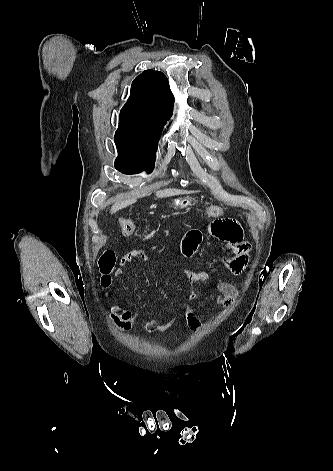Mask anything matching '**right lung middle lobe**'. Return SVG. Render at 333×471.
Returning <instances> with one entry per match:
<instances>
[{
	"instance_id": "dd1d6c3e",
	"label": "right lung middle lobe",
	"mask_w": 333,
	"mask_h": 471,
	"mask_svg": "<svg viewBox=\"0 0 333 471\" xmlns=\"http://www.w3.org/2000/svg\"><path fill=\"white\" fill-rule=\"evenodd\" d=\"M160 133L143 128L119 127L114 137L118 150L115 168L124 174L143 170L152 172Z\"/></svg>"
}]
</instances>
